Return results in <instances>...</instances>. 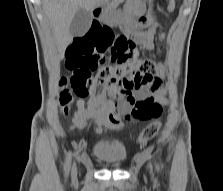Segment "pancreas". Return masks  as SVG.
<instances>
[{
    "instance_id": "cf45deb5",
    "label": "pancreas",
    "mask_w": 223,
    "mask_h": 191,
    "mask_svg": "<svg viewBox=\"0 0 223 191\" xmlns=\"http://www.w3.org/2000/svg\"><path fill=\"white\" fill-rule=\"evenodd\" d=\"M121 0H113L108 6L110 9L116 8Z\"/></svg>"
}]
</instances>
